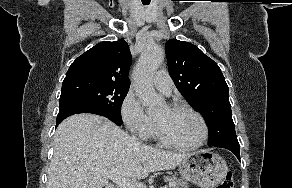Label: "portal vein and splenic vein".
Returning a JSON list of instances; mask_svg holds the SVG:
<instances>
[{
	"label": "portal vein and splenic vein",
	"instance_id": "1",
	"mask_svg": "<svg viewBox=\"0 0 292 188\" xmlns=\"http://www.w3.org/2000/svg\"><path fill=\"white\" fill-rule=\"evenodd\" d=\"M92 173L94 174H101L102 172L98 169L92 170ZM105 175L116 185H118L120 188H144V186L141 183L131 181L130 179L123 177V176H117L112 173H105ZM160 188H166V186L160 187Z\"/></svg>",
	"mask_w": 292,
	"mask_h": 188
}]
</instances>
